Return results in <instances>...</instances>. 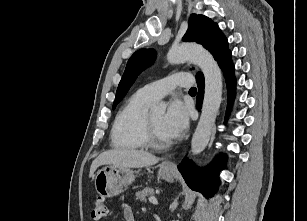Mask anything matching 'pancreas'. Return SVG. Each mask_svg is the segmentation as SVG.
Segmentation results:
<instances>
[{
  "mask_svg": "<svg viewBox=\"0 0 307 221\" xmlns=\"http://www.w3.org/2000/svg\"><path fill=\"white\" fill-rule=\"evenodd\" d=\"M155 194L154 189L146 187L136 193V198L140 201H146L148 197H153Z\"/></svg>",
  "mask_w": 307,
  "mask_h": 221,
  "instance_id": "pancreas-1",
  "label": "pancreas"
}]
</instances>
